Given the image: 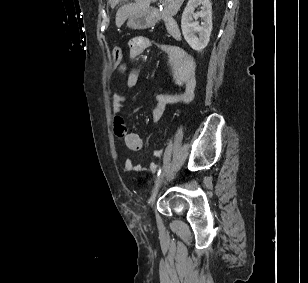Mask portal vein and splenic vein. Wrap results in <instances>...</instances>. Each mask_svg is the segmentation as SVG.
Listing matches in <instances>:
<instances>
[{
	"mask_svg": "<svg viewBox=\"0 0 308 283\" xmlns=\"http://www.w3.org/2000/svg\"><path fill=\"white\" fill-rule=\"evenodd\" d=\"M153 1H156V0H153ZM160 2H163V0H160Z\"/></svg>",
	"mask_w": 308,
	"mask_h": 283,
	"instance_id": "1",
	"label": "portal vein and splenic vein"
}]
</instances>
